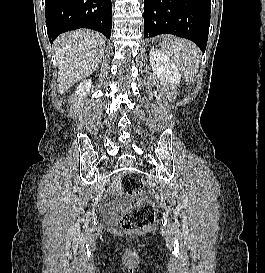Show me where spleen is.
<instances>
[{
	"instance_id": "spleen-1",
	"label": "spleen",
	"mask_w": 265,
	"mask_h": 273,
	"mask_svg": "<svg viewBox=\"0 0 265 273\" xmlns=\"http://www.w3.org/2000/svg\"><path fill=\"white\" fill-rule=\"evenodd\" d=\"M161 49L183 71L186 79H194L200 63V51L196 45L185 39L167 36L161 43Z\"/></svg>"
}]
</instances>
